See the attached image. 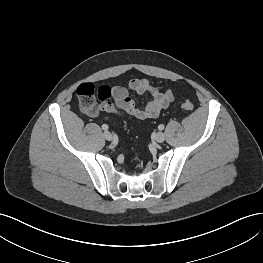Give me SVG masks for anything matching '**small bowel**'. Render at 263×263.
<instances>
[{"mask_svg":"<svg viewBox=\"0 0 263 263\" xmlns=\"http://www.w3.org/2000/svg\"><path fill=\"white\" fill-rule=\"evenodd\" d=\"M131 93L149 95L148 102L138 106L132 99ZM113 101H106L96 105L93 110L87 112L91 117L103 115L110 120L114 116L128 115L139 120L156 118L160 112L167 108L174 100V94L170 90L161 91L148 79L133 78L127 86H115L112 89Z\"/></svg>","mask_w":263,"mask_h":263,"instance_id":"1","label":"small bowel"}]
</instances>
